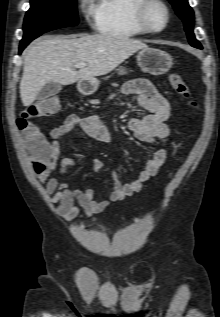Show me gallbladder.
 I'll return each instance as SVG.
<instances>
[{
    "instance_id": "1",
    "label": "gallbladder",
    "mask_w": 220,
    "mask_h": 317,
    "mask_svg": "<svg viewBox=\"0 0 220 317\" xmlns=\"http://www.w3.org/2000/svg\"><path fill=\"white\" fill-rule=\"evenodd\" d=\"M62 89V85L56 82H48L38 93V99L43 100L58 94Z\"/></svg>"
}]
</instances>
